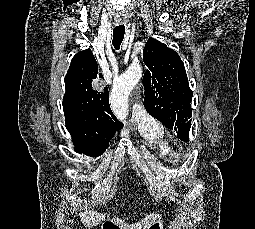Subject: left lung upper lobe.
<instances>
[{
	"label": "left lung upper lobe",
	"mask_w": 255,
	"mask_h": 229,
	"mask_svg": "<svg viewBox=\"0 0 255 229\" xmlns=\"http://www.w3.org/2000/svg\"><path fill=\"white\" fill-rule=\"evenodd\" d=\"M143 60L148 67L143 76L144 107L167 128L174 129L179 139L188 141L193 92L184 63L173 49L153 38L144 47Z\"/></svg>",
	"instance_id": "1"
}]
</instances>
